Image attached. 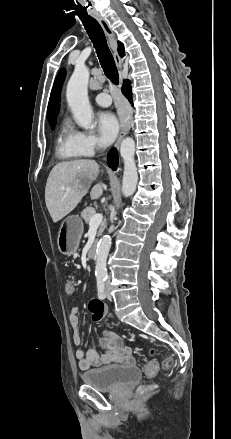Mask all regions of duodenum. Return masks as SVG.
Wrapping results in <instances>:
<instances>
[{
  "mask_svg": "<svg viewBox=\"0 0 231 439\" xmlns=\"http://www.w3.org/2000/svg\"><path fill=\"white\" fill-rule=\"evenodd\" d=\"M96 255H97V246L96 244H93L87 252V258L89 260H92L96 257Z\"/></svg>",
  "mask_w": 231,
  "mask_h": 439,
  "instance_id": "obj_1",
  "label": "duodenum"
}]
</instances>
